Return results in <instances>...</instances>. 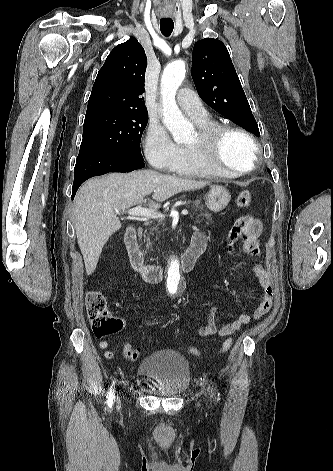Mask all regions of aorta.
I'll return each instance as SVG.
<instances>
[{
  "label": "aorta",
  "mask_w": 333,
  "mask_h": 471,
  "mask_svg": "<svg viewBox=\"0 0 333 471\" xmlns=\"http://www.w3.org/2000/svg\"><path fill=\"white\" fill-rule=\"evenodd\" d=\"M185 72L184 62L178 60L168 64L161 77L163 124L172 134L176 143L187 142L193 132L192 124L183 116L175 100L177 90L185 78ZM180 283L179 261L172 258L168 268L167 285H174L175 289H178Z\"/></svg>",
  "instance_id": "obj_1"
}]
</instances>
